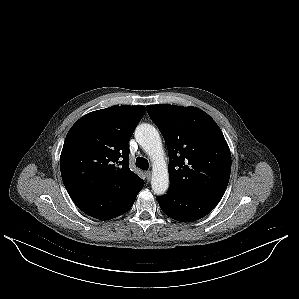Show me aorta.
<instances>
[{
  "mask_svg": "<svg viewBox=\"0 0 299 299\" xmlns=\"http://www.w3.org/2000/svg\"><path fill=\"white\" fill-rule=\"evenodd\" d=\"M135 138L152 161V189L163 195L169 187V175L160 135L154 126L144 123L137 126Z\"/></svg>",
  "mask_w": 299,
  "mask_h": 299,
  "instance_id": "aorta-1",
  "label": "aorta"
}]
</instances>
